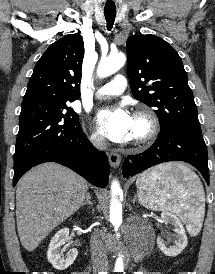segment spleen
Listing matches in <instances>:
<instances>
[{
    "label": "spleen",
    "mask_w": 215,
    "mask_h": 274,
    "mask_svg": "<svg viewBox=\"0 0 215 274\" xmlns=\"http://www.w3.org/2000/svg\"><path fill=\"white\" fill-rule=\"evenodd\" d=\"M136 186L139 201L147 208L171 211L188 224L204 215L203 187L197 175L185 165L156 166L143 172Z\"/></svg>",
    "instance_id": "3e777b00"
}]
</instances>
